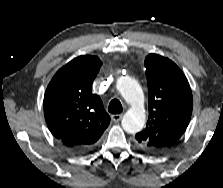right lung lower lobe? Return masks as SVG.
I'll return each instance as SVG.
<instances>
[{"label": "right lung lower lobe", "instance_id": "1", "mask_svg": "<svg viewBox=\"0 0 223 188\" xmlns=\"http://www.w3.org/2000/svg\"><path fill=\"white\" fill-rule=\"evenodd\" d=\"M70 149L71 151L75 152V153H84V152H87L88 150L87 149H82V148H68Z\"/></svg>", "mask_w": 223, "mask_h": 188}]
</instances>
